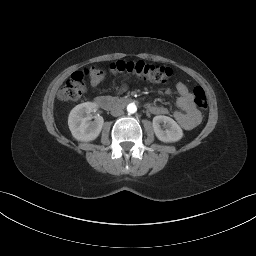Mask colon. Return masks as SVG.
<instances>
[{"instance_id":"1","label":"colon","mask_w":256,"mask_h":256,"mask_svg":"<svg viewBox=\"0 0 256 256\" xmlns=\"http://www.w3.org/2000/svg\"><path fill=\"white\" fill-rule=\"evenodd\" d=\"M106 71L115 74H130L139 78L155 82H166L173 76L169 67L146 63L144 61H116L107 68L91 67L83 71H76L67 79L61 97L66 101L79 100L86 89L85 80L88 78L94 85L100 83ZM193 101L197 108L204 110L208 102L204 89L197 86L193 89Z\"/></svg>"}]
</instances>
